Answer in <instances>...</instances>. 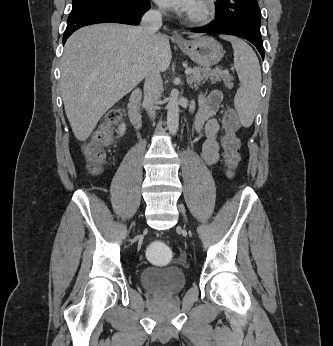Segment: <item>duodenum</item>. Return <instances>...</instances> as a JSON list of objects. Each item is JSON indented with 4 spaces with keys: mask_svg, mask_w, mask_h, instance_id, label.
I'll use <instances>...</instances> for the list:
<instances>
[{
    "mask_svg": "<svg viewBox=\"0 0 333 346\" xmlns=\"http://www.w3.org/2000/svg\"><path fill=\"white\" fill-rule=\"evenodd\" d=\"M142 90L135 89L132 91L128 101V113L130 120L135 128H139L142 124V115L140 111V102L142 99Z\"/></svg>",
    "mask_w": 333,
    "mask_h": 346,
    "instance_id": "duodenum-1",
    "label": "duodenum"
}]
</instances>
